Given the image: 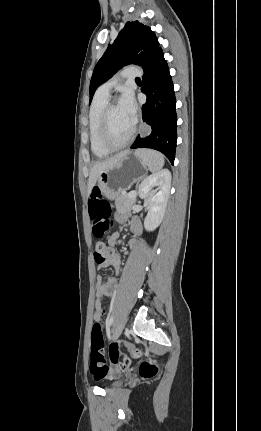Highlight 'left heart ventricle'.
Returning a JSON list of instances; mask_svg holds the SVG:
<instances>
[{
  "instance_id": "left-heart-ventricle-1",
  "label": "left heart ventricle",
  "mask_w": 261,
  "mask_h": 431,
  "mask_svg": "<svg viewBox=\"0 0 261 431\" xmlns=\"http://www.w3.org/2000/svg\"><path fill=\"white\" fill-rule=\"evenodd\" d=\"M133 122L128 115L121 109L119 104H116L109 114V130L111 139L120 143L129 135Z\"/></svg>"
}]
</instances>
